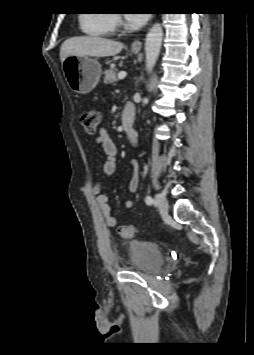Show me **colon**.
Segmentation results:
<instances>
[{"instance_id":"colon-1","label":"colon","mask_w":254,"mask_h":355,"mask_svg":"<svg viewBox=\"0 0 254 355\" xmlns=\"http://www.w3.org/2000/svg\"><path fill=\"white\" fill-rule=\"evenodd\" d=\"M100 121L99 112L96 109L86 110L81 118L82 126L85 131L89 134H94L98 128ZM137 232V227L135 225H121L119 227V233L124 238H131Z\"/></svg>"}]
</instances>
